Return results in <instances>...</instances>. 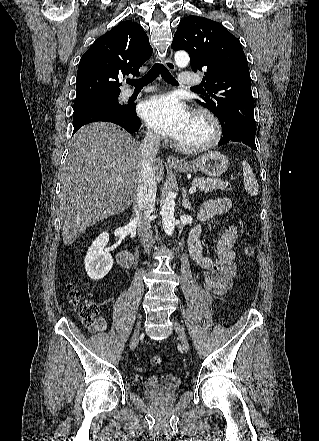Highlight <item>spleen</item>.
Wrapping results in <instances>:
<instances>
[{"label":"spleen","mask_w":319,"mask_h":441,"mask_svg":"<svg viewBox=\"0 0 319 441\" xmlns=\"http://www.w3.org/2000/svg\"><path fill=\"white\" fill-rule=\"evenodd\" d=\"M243 166V178H244V186L247 193L251 196L258 195V182L255 178V175L249 165V163L245 160L242 161Z\"/></svg>","instance_id":"spleen-1"}]
</instances>
